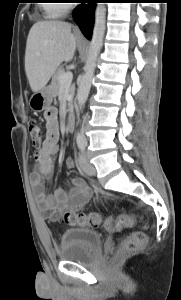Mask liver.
<instances>
[{
	"instance_id": "liver-1",
	"label": "liver",
	"mask_w": 181,
	"mask_h": 300,
	"mask_svg": "<svg viewBox=\"0 0 181 300\" xmlns=\"http://www.w3.org/2000/svg\"><path fill=\"white\" fill-rule=\"evenodd\" d=\"M77 47L71 25L62 21H39L28 34L25 72L33 92L46 86L62 62L73 59Z\"/></svg>"
}]
</instances>
